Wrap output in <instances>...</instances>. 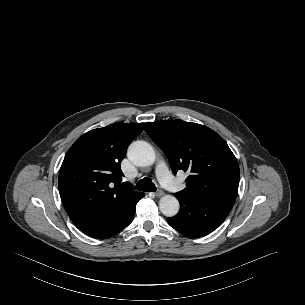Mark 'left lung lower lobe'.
<instances>
[{
	"label": "left lung lower lobe",
	"mask_w": 305,
	"mask_h": 305,
	"mask_svg": "<svg viewBox=\"0 0 305 305\" xmlns=\"http://www.w3.org/2000/svg\"><path fill=\"white\" fill-rule=\"evenodd\" d=\"M180 211L167 219L168 224L189 237H201L214 231L231 211L234 199L228 197L187 198L178 194Z\"/></svg>",
	"instance_id": "0a47b994"
}]
</instances>
